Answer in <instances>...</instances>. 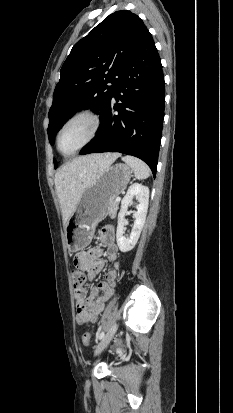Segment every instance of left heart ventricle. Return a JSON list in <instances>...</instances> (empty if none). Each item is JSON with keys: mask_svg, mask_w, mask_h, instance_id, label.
Returning a JSON list of instances; mask_svg holds the SVG:
<instances>
[{"mask_svg": "<svg viewBox=\"0 0 233 413\" xmlns=\"http://www.w3.org/2000/svg\"><path fill=\"white\" fill-rule=\"evenodd\" d=\"M92 128L90 120L77 119L69 124L61 134L60 149L64 153H70L80 146L89 136Z\"/></svg>", "mask_w": 233, "mask_h": 413, "instance_id": "b2bd125f", "label": "left heart ventricle"}]
</instances>
